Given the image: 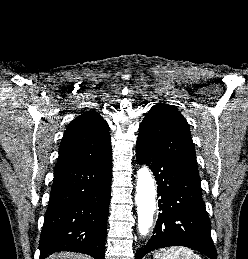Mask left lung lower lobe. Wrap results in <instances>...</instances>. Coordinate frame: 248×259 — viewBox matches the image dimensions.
<instances>
[{"label":"left lung lower lobe","mask_w":248,"mask_h":259,"mask_svg":"<svg viewBox=\"0 0 248 259\" xmlns=\"http://www.w3.org/2000/svg\"><path fill=\"white\" fill-rule=\"evenodd\" d=\"M136 156L139 164L149 165L155 175L161 212L151 239L136 252L135 259L170 246H186L216 259L201 181L139 142L136 143Z\"/></svg>","instance_id":"left-lung-lower-lobe-1"}]
</instances>
